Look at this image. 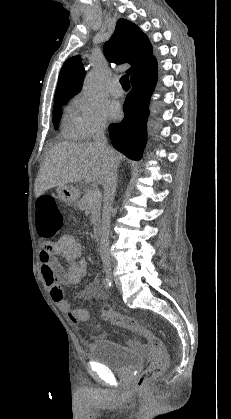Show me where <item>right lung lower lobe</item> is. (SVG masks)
<instances>
[{
    "mask_svg": "<svg viewBox=\"0 0 231 419\" xmlns=\"http://www.w3.org/2000/svg\"><path fill=\"white\" fill-rule=\"evenodd\" d=\"M157 82V61L131 76L132 90L124 103V119L109 126L113 146L133 160L141 159L147 142L149 101Z\"/></svg>",
    "mask_w": 231,
    "mask_h": 419,
    "instance_id": "1",
    "label": "right lung lower lobe"
}]
</instances>
